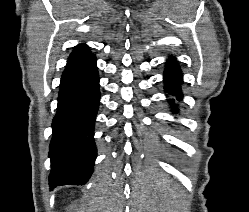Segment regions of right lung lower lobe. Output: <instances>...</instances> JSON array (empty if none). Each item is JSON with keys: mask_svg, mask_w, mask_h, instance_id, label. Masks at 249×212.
<instances>
[{"mask_svg": "<svg viewBox=\"0 0 249 212\" xmlns=\"http://www.w3.org/2000/svg\"><path fill=\"white\" fill-rule=\"evenodd\" d=\"M100 99L96 57L66 66L60 83L57 113L50 144L51 188L83 185L96 158L94 124Z\"/></svg>", "mask_w": 249, "mask_h": 212, "instance_id": "obj_1", "label": "right lung lower lobe"}]
</instances>
